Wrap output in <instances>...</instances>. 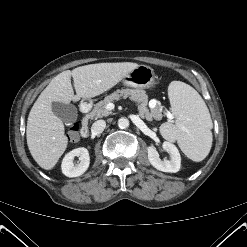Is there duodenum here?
<instances>
[{
	"instance_id": "duodenum-1",
	"label": "duodenum",
	"mask_w": 247,
	"mask_h": 247,
	"mask_svg": "<svg viewBox=\"0 0 247 247\" xmlns=\"http://www.w3.org/2000/svg\"><path fill=\"white\" fill-rule=\"evenodd\" d=\"M90 108H91L90 104L88 102H84L80 106V111L85 116L89 112ZM80 134L84 138L89 136L88 120L85 117L82 119V122H81Z\"/></svg>"
}]
</instances>
